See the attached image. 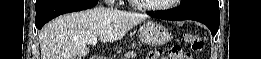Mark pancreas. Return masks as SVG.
I'll use <instances>...</instances> for the list:
<instances>
[{
    "instance_id": "obj_1",
    "label": "pancreas",
    "mask_w": 261,
    "mask_h": 59,
    "mask_svg": "<svg viewBox=\"0 0 261 59\" xmlns=\"http://www.w3.org/2000/svg\"><path fill=\"white\" fill-rule=\"evenodd\" d=\"M136 58V53L134 51H129L125 54L124 59H135Z\"/></svg>"
}]
</instances>
